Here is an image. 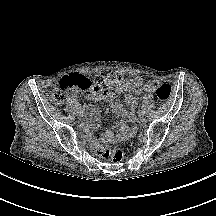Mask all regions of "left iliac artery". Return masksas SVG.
Returning a JSON list of instances; mask_svg holds the SVG:
<instances>
[{"label": "left iliac artery", "mask_w": 216, "mask_h": 216, "mask_svg": "<svg viewBox=\"0 0 216 216\" xmlns=\"http://www.w3.org/2000/svg\"><path fill=\"white\" fill-rule=\"evenodd\" d=\"M142 110L143 109L141 107L136 110V117H141Z\"/></svg>", "instance_id": "44dca946"}]
</instances>
